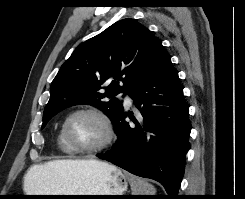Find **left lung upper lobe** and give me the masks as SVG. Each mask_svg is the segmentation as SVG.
<instances>
[{"instance_id":"obj_1","label":"left lung upper lobe","mask_w":245,"mask_h":199,"mask_svg":"<svg viewBox=\"0 0 245 199\" xmlns=\"http://www.w3.org/2000/svg\"><path fill=\"white\" fill-rule=\"evenodd\" d=\"M162 50L161 41L131 18L114 23L84 42L52 81L42 129L58 112L77 104L93 105L113 122L123 110L116 95L130 93Z\"/></svg>"}]
</instances>
